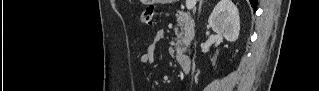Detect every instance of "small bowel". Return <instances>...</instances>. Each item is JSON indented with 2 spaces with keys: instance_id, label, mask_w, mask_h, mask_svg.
<instances>
[{
  "instance_id": "obj_1",
  "label": "small bowel",
  "mask_w": 319,
  "mask_h": 91,
  "mask_svg": "<svg viewBox=\"0 0 319 91\" xmlns=\"http://www.w3.org/2000/svg\"><path fill=\"white\" fill-rule=\"evenodd\" d=\"M155 40H160L161 39V34L157 33L155 34ZM155 51H156V46L154 44L150 45L147 47L146 51L141 55L140 61L143 64H150L154 61L155 58Z\"/></svg>"
}]
</instances>
